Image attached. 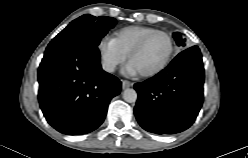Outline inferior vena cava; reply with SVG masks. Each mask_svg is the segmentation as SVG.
<instances>
[{
	"label": "inferior vena cava",
	"instance_id": "1",
	"mask_svg": "<svg viewBox=\"0 0 248 158\" xmlns=\"http://www.w3.org/2000/svg\"><path fill=\"white\" fill-rule=\"evenodd\" d=\"M102 68L106 72H113L115 70V64L111 62H104L102 63Z\"/></svg>",
	"mask_w": 248,
	"mask_h": 158
}]
</instances>
